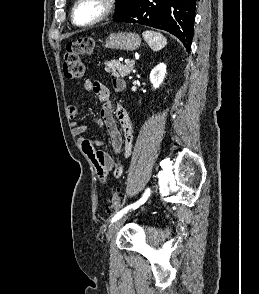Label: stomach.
<instances>
[{
    "label": "stomach",
    "mask_w": 259,
    "mask_h": 294,
    "mask_svg": "<svg viewBox=\"0 0 259 294\" xmlns=\"http://www.w3.org/2000/svg\"><path fill=\"white\" fill-rule=\"evenodd\" d=\"M141 39L138 34L121 32L110 34L105 41V47L113 50L133 51L139 48Z\"/></svg>",
    "instance_id": "stomach-1"
}]
</instances>
